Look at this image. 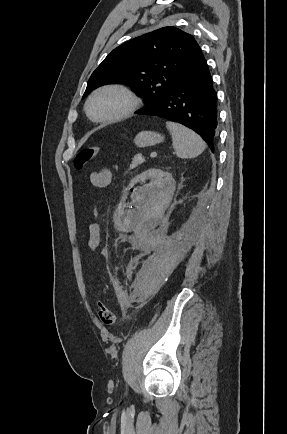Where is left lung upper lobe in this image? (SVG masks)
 <instances>
[{
  "mask_svg": "<svg viewBox=\"0 0 287 434\" xmlns=\"http://www.w3.org/2000/svg\"><path fill=\"white\" fill-rule=\"evenodd\" d=\"M203 56L188 33L163 27L115 48L92 73L85 98L93 89L110 83L136 88L146 107L155 104L176 77Z\"/></svg>",
  "mask_w": 287,
  "mask_h": 434,
  "instance_id": "1",
  "label": "left lung upper lobe"
}]
</instances>
